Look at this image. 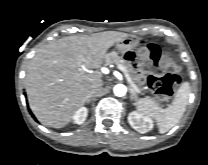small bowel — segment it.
<instances>
[{
	"mask_svg": "<svg viewBox=\"0 0 208 165\" xmlns=\"http://www.w3.org/2000/svg\"><path fill=\"white\" fill-rule=\"evenodd\" d=\"M123 59L131 66V72L136 77L138 84L141 87H148L150 85V78L146 70L142 67V60L136 50H129L124 52Z\"/></svg>",
	"mask_w": 208,
	"mask_h": 165,
	"instance_id": "small-bowel-1",
	"label": "small bowel"
}]
</instances>
